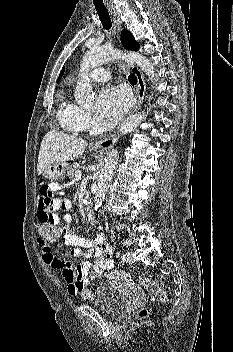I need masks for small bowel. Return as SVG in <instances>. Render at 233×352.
Returning <instances> with one entry per match:
<instances>
[{"mask_svg": "<svg viewBox=\"0 0 233 352\" xmlns=\"http://www.w3.org/2000/svg\"><path fill=\"white\" fill-rule=\"evenodd\" d=\"M62 184L50 183L41 187L37 217L40 223H49L64 233L62 242L52 250L40 238L38 244L42 258L53 269L59 270L67 283L68 292L76 295L107 270L112 269L113 260L110 246L104 243V236L95 240L79 236L70 230L72 217L68 213L71 204L63 197ZM73 246L72 254L80 256V248H85V261L77 265L69 262L62 253L63 246Z\"/></svg>", "mask_w": 233, "mask_h": 352, "instance_id": "1", "label": "small bowel"}]
</instances>
